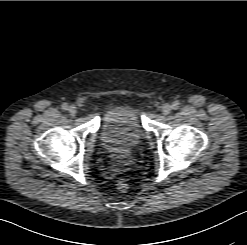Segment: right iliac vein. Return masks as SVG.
<instances>
[{
    "label": "right iliac vein",
    "instance_id": "right-iliac-vein-1",
    "mask_svg": "<svg viewBox=\"0 0 247 245\" xmlns=\"http://www.w3.org/2000/svg\"><path fill=\"white\" fill-rule=\"evenodd\" d=\"M68 112L71 116H75L77 114V108L74 105H72L68 107Z\"/></svg>",
    "mask_w": 247,
    "mask_h": 245
}]
</instances>
